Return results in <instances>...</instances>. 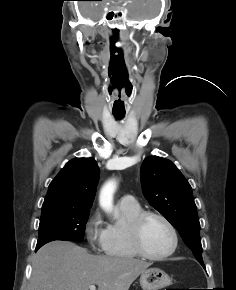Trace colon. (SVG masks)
<instances>
[{
	"label": "colon",
	"mask_w": 236,
	"mask_h": 290,
	"mask_svg": "<svg viewBox=\"0 0 236 290\" xmlns=\"http://www.w3.org/2000/svg\"><path fill=\"white\" fill-rule=\"evenodd\" d=\"M165 290H177V289H170V288H167V289H165Z\"/></svg>",
	"instance_id": "5ec220e1"
}]
</instances>
